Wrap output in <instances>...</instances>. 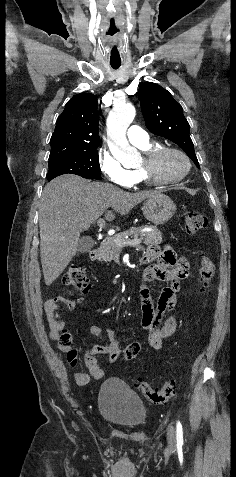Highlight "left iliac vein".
I'll list each match as a JSON object with an SVG mask.
<instances>
[{"mask_svg":"<svg viewBox=\"0 0 236 477\" xmlns=\"http://www.w3.org/2000/svg\"><path fill=\"white\" fill-rule=\"evenodd\" d=\"M168 443L170 447H174L175 445V429L174 427H170L168 430Z\"/></svg>","mask_w":236,"mask_h":477,"instance_id":"1","label":"left iliac vein"}]
</instances>
